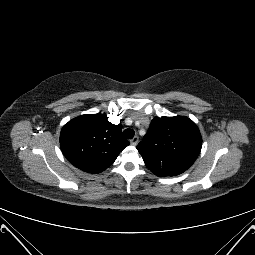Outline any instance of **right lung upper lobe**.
Wrapping results in <instances>:
<instances>
[{
	"label": "right lung upper lobe",
	"mask_w": 255,
	"mask_h": 255,
	"mask_svg": "<svg viewBox=\"0 0 255 255\" xmlns=\"http://www.w3.org/2000/svg\"><path fill=\"white\" fill-rule=\"evenodd\" d=\"M120 125H113L101 113L70 120L61 130L64 156L78 169L97 174L107 169L130 143L121 136Z\"/></svg>",
	"instance_id": "right-lung-upper-lobe-1"
}]
</instances>
